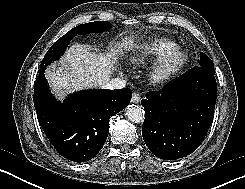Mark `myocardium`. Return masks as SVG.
<instances>
[{"mask_svg": "<svg viewBox=\"0 0 245 189\" xmlns=\"http://www.w3.org/2000/svg\"><path fill=\"white\" fill-rule=\"evenodd\" d=\"M189 54L180 47L166 51L149 72L150 82L164 84L180 73L188 64Z\"/></svg>", "mask_w": 245, "mask_h": 189, "instance_id": "myocardium-1", "label": "myocardium"}]
</instances>
